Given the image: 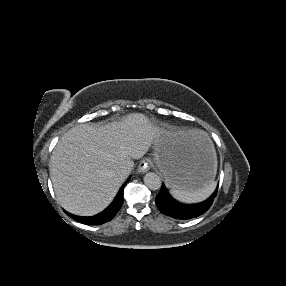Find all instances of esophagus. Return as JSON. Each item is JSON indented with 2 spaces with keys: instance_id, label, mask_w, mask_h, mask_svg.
I'll return each instance as SVG.
<instances>
[{
  "instance_id": "obj_1",
  "label": "esophagus",
  "mask_w": 286,
  "mask_h": 286,
  "mask_svg": "<svg viewBox=\"0 0 286 286\" xmlns=\"http://www.w3.org/2000/svg\"><path fill=\"white\" fill-rule=\"evenodd\" d=\"M151 167H152V162L148 159H145L139 164L137 172L139 174L145 173L149 171Z\"/></svg>"
}]
</instances>
